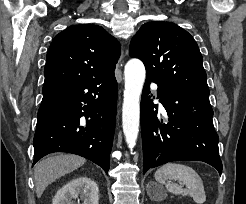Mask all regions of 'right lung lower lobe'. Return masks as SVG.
<instances>
[{
  "instance_id": "1",
  "label": "right lung lower lobe",
  "mask_w": 246,
  "mask_h": 204,
  "mask_svg": "<svg viewBox=\"0 0 246 204\" xmlns=\"http://www.w3.org/2000/svg\"><path fill=\"white\" fill-rule=\"evenodd\" d=\"M33 165L53 152L83 156L108 173L115 130L114 74L43 86Z\"/></svg>"
}]
</instances>
